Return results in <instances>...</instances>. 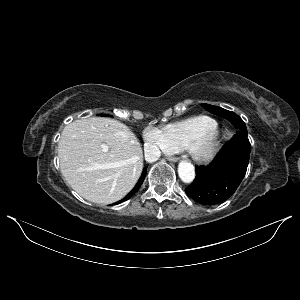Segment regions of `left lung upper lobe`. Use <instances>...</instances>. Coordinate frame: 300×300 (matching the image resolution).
<instances>
[{
    "mask_svg": "<svg viewBox=\"0 0 300 300\" xmlns=\"http://www.w3.org/2000/svg\"><path fill=\"white\" fill-rule=\"evenodd\" d=\"M202 106L209 112L229 120L235 127L240 130L239 133L248 135L244 121L234 112L209 104H202Z\"/></svg>",
    "mask_w": 300,
    "mask_h": 300,
    "instance_id": "1",
    "label": "left lung upper lobe"
}]
</instances>
